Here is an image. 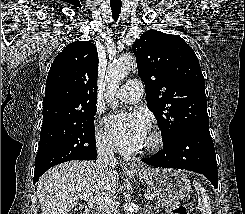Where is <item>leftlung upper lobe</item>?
I'll return each mask as SVG.
<instances>
[{"instance_id": "5c2ea615", "label": "left lung upper lobe", "mask_w": 245, "mask_h": 214, "mask_svg": "<svg viewBox=\"0 0 245 214\" xmlns=\"http://www.w3.org/2000/svg\"><path fill=\"white\" fill-rule=\"evenodd\" d=\"M132 49L164 146L193 127H208L204 77L195 52L184 39L149 30Z\"/></svg>"}]
</instances>
